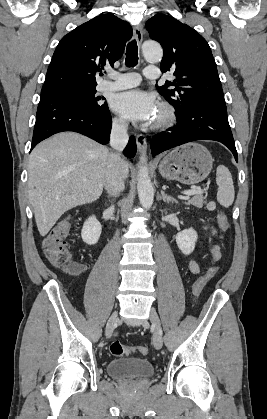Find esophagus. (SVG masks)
<instances>
[{"mask_svg":"<svg viewBox=\"0 0 267 419\" xmlns=\"http://www.w3.org/2000/svg\"><path fill=\"white\" fill-rule=\"evenodd\" d=\"M133 32H134V37L138 43V45H141L142 41H143V27L141 24L135 25L133 28ZM136 143H137V148L139 152L144 153L146 151L147 148V142H146V138L144 137V135L142 134H138L136 136Z\"/></svg>","mask_w":267,"mask_h":419,"instance_id":"esophagus-1","label":"esophagus"}]
</instances>
